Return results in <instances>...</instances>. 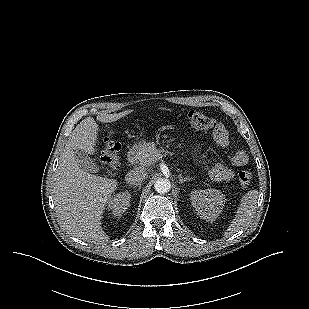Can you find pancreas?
Masks as SVG:
<instances>
[{"label": "pancreas", "mask_w": 309, "mask_h": 309, "mask_svg": "<svg viewBox=\"0 0 309 309\" xmlns=\"http://www.w3.org/2000/svg\"><path fill=\"white\" fill-rule=\"evenodd\" d=\"M161 157L160 151L156 148V145L154 142L150 143V142H145L136 158L138 160V162L143 165V166H147V165H151L154 162H156L159 158Z\"/></svg>", "instance_id": "obj_1"}]
</instances>
